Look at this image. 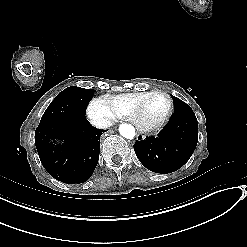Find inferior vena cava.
Masks as SVG:
<instances>
[{"label":"inferior vena cava","mask_w":247,"mask_h":247,"mask_svg":"<svg viewBox=\"0 0 247 247\" xmlns=\"http://www.w3.org/2000/svg\"><path fill=\"white\" fill-rule=\"evenodd\" d=\"M93 125L98 129H107L112 126V122L107 119H97L94 121Z\"/></svg>","instance_id":"obj_1"}]
</instances>
